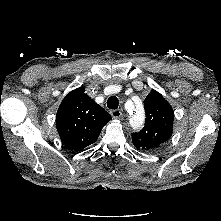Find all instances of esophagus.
I'll return each instance as SVG.
<instances>
[{
	"instance_id": "1",
	"label": "esophagus",
	"mask_w": 221,
	"mask_h": 221,
	"mask_svg": "<svg viewBox=\"0 0 221 221\" xmlns=\"http://www.w3.org/2000/svg\"><path fill=\"white\" fill-rule=\"evenodd\" d=\"M110 114L114 119H120L122 117V112L118 109L111 110Z\"/></svg>"
}]
</instances>
